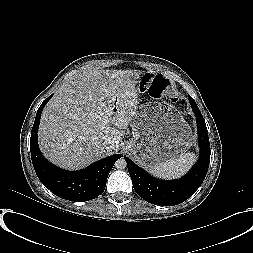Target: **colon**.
<instances>
[{
    "label": "colon",
    "instance_id": "colon-1",
    "mask_svg": "<svg viewBox=\"0 0 253 253\" xmlns=\"http://www.w3.org/2000/svg\"><path fill=\"white\" fill-rule=\"evenodd\" d=\"M139 84L141 91L148 92L151 89L154 96H159L169 103L176 102L180 97L179 90L175 86L169 84L167 79L161 76L145 73L140 76Z\"/></svg>",
    "mask_w": 253,
    "mask_h": 253
}]
</instances>
